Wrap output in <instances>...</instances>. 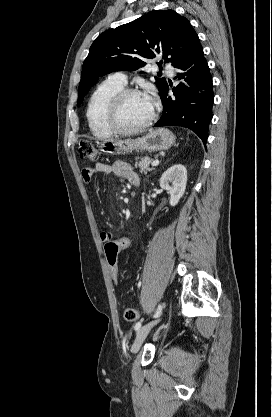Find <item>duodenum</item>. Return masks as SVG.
Wrapping results in <instances>:
<instances>
[{
  "label": "duodenum",
  "instance_id": "duodenum-1",
  "mask_svg": "<svg viewBox=\"0 0 272 417\" xmlns=\"http://www.w3.org/2000/svg\"><path fill=\"white\" fill-rule=\"evenodd\" d=\"M137 184H138V183H136V182H135L133 185H135V186H136Z\"/></svg>",
  "mask_w": 272,
  "mask_h": 417
}]
</instances>
